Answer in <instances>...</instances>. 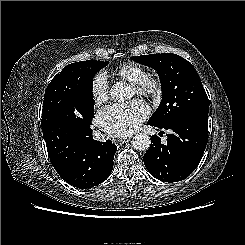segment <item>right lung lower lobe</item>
<instances>
[{"label": "right lung lower lobe", "instance_id": "1", "mask_svg": "<svg viewBox=\"0 0 245 245\" xmlns=\"http://www.w3.org/2000/svg\"><path fill=\"white\" fill-rule=\"evenodd\" d=\"M44 138L54 169L74 187L92 188L112 172L117 146L111 140H94L92 129L86 132L65 130Z\"/></svg>", "mask_w": 245, "mask_h": 245}]
</instances>
